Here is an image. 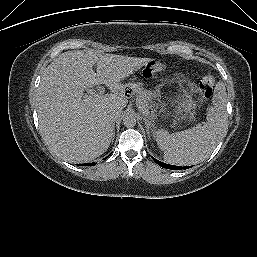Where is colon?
<instances>
[{"instance_id": "1", "label": "colon", "mask_w": 257, "mask_h": 257, "mask_svg": "<svg viewBox=\"0 0 257 257\" xmlns=\"http://www.w3.org/2000/svg\"><path fill=\"white\" fill-rule=\"evenodd\" d=\"M164 71H166V66L163 63L151 61L143 67L141 76L149 78ZM215 83L216 78L211 74H207L201 79L199 86L204 98L209 99L212 96Z\"/></svg>"}]
</instances>
